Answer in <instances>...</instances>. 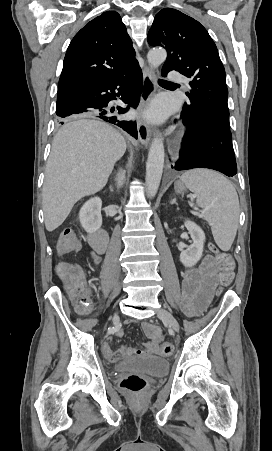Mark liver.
Listing matches in <instances>:
<instances>
[{"instance_id":"6515ba94","label":"liver","mask_w":272,"mask_h":451,"mask_svg":"<svg viewBox=\"0 0 272 451\" xmlns=\"http://www.w3.org/2000/svg\"><path fill=\"white\" fill-rule=\"evenodd\" d=\"M126 142L112 126L76 118L58 130L45 168L42 204L45 226H61L74 204L102 190Z\"/></svg>"}]
</instances>
